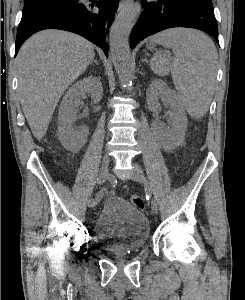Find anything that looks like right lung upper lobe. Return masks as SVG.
Returning a JSON list of instances; mask_svg holds the SVG:
<instances>
[{
  "label": "right lung upper lobe",
  "mask_w": 245,
  "mask_h": 300,
  "mask_svg": "<svg viewBox=\"0 0 245 300\" xmlns=\"http://www.w3.org/2000/svg\"><path fill=\"white\" fill-rule=\"evenodd\" d=\"M30 1H35V0H24V2H30Z\"/></svg>",
  "instance_id": "cb5924a9"
}]
</instances>
